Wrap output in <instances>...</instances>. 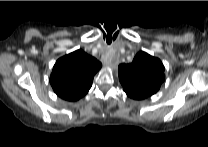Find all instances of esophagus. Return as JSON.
<instances>
[{
	"mask_svg": "<svg viewBox=\"0 0 208 147\" xmlns=\"http://www.w3.org/2000/svg\"><path fill=\"white\" fill-rule=\"evenodd\" d=\"M106 64H107V65H110V62H109V61H107V62H106Z\"/></svg>",
	"mask_w": 208,
	"mask_h": 147,
	"instance_id": "34e87169",
	"label": "esophagus"
}]
</instances>
